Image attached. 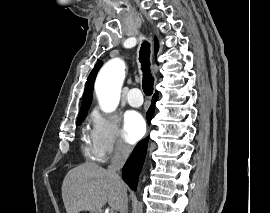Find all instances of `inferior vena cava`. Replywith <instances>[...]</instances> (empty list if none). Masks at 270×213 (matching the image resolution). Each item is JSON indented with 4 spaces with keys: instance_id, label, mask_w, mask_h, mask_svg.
I'll use <instances>...</instances> for the list:
<instances>
[{
    "instance_id": "obj_1",
    "label": "inferior vena cava",
    "mask_w": 270,
    "mask_h": 213,
    "mask_svg": "<svg viewBox=\"0 0 270 213\" xmlns=\"http://www.w3.org/2000/svg\"><path fill=\"white\" fill-rule=\"evenodd\" d=\"M130 150V146L123 142H119L116 145L115 154L111 160V164L108 166V171L119 180H122L119 175L120 169L125 164ZM120 213H128V199L126 193H123L121 198Z\"/></svg>"
}]
</instances>
